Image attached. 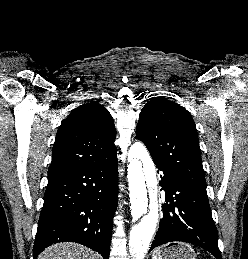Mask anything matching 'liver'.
I'll use <instances>...</instances> for the list:
<instances>
[{"mask_svg":"<svg viewBox=\"0 0 248 259\" xmlns=\"http://www.w3.org/2000/svg\"><path fill=\"white\" fill-rule=\"evenodd\" d=\"M37 259H99V255L83 245L64 242L46 248Z\"/></svg>","mask_w":248,"mask_h":259,"instance_id":"6515ba94","label":"liver"}]
</instances>
